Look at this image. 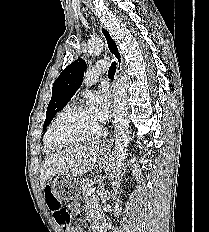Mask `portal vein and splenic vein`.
Segmentation results:
<instances>
[{
	"label": "portal vein and splenic vein",
	"mask_w": 209,
	"mask_h": 232,
	"mask_svg": "<svg viewBox=\"0 0 209 232\" xmlns=\"http://www.w3.org/2000/svg\"><path fill=\"white\" fill-rule=\"evenodd\" d=\"M95 191V188H91L90 190H88L87 192H86V196H91L92 194H93V192Z\"/></svg>",
	"instance_id": "18ae733b"
}]
</instances>
